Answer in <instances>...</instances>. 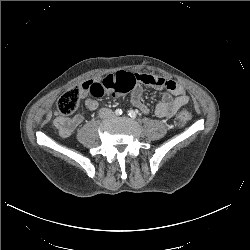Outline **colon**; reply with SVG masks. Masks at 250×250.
I'll return each mask as SVG.
<instances>
[{
	"mask_svg": "<svg viewBox=\"0 0 250 250\" xmlns=\"http://www.w3.org/2000/svg\"><path fill=\"white\" fill-rule=\"evenodd\" d=\"M89 93L100 98L106 93V88L101 82H94L89 87ZM81 97V90L78 87H73L65 91L57 100L56 107L61 115H70L78 108ZM192 118V112L187 108H182L178 111L175 117V125L178 128L185 127Z\"/></svg>",
	"mask_w": 250,
	"mask_h": 250,
	"instance_id": "5ec220e1",
	"label": "colon"
}]
</instances>
